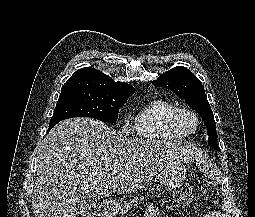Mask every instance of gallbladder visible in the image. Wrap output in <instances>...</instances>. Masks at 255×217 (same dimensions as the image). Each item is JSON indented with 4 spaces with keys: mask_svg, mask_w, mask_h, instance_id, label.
<instances>
[{
    "mask_svg": "<svg viewBox=\"0 0 255 217\" xmlns=\"http://www.w3.org/2000/svg\"><path fill=\"white\" fill-rule=\"evenodd\" d=\"M96 210V204L93 200L87 197H83L73 212V217H90Z\"/></svg>",
    "mask_w": 255,
    "mask_h": 217,
    "instance_id": "1",
    "label": "gallbladder"
}]
</instances>
